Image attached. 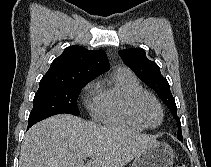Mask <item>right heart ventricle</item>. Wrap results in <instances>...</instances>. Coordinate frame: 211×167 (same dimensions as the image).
I'll list each match as a JSON object with an SVG mask.
<instances>
[{
    "label": "right heart ventricle",
    "instance_id": "1",
    "mask_svg": "<svg viewBox=\"0 0 211 167\" xmlns=\"http://www.w3.org/2000/svg\"><path fill=\"white\" fill-rule=\"evenodd\" d=\"M144 90L139 79L128 69L118 68L107 83L98 84L93 116L99 121L131 131H141L144 126L132 115L131 97Z\"/></svg>",
    "mask_w": 211,
    "mask_h": 167
}]
</instances>
